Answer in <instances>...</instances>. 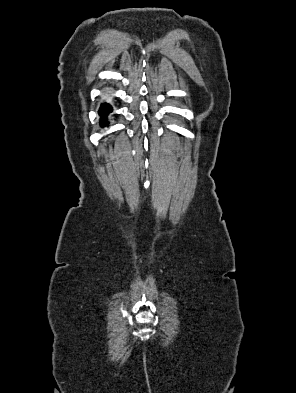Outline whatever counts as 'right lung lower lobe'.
<instances>
[{
    "label": "right lung lower lobe",
    "instance_id": "obj_1",
    "mask_svg": "<svg viewBox=\"0 0 296 393\" xmlns=\"http://www.w3.org/2000/svg\"><path fill=\"white\" fill-rule=\"evenodd\" d=\"M112 111L111 106L107 103H104L100 110H99V114L102 116L101 118V126H106L107 125V121H106V116L108 115V113H110Z\"/></svg>",
    "mask_w": 296,
    "mask_h": 393
}]
</instances>
